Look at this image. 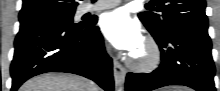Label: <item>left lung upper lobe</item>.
<instances>
[{
  "mask_svg": "<svg viewBox=\"0 0 220 91\" xmlns=\"http://www.w3.org/2000/svg\"><path fill=\"white\" fill-rule=\"evenodd\" d=\"M152 3L162 14L147 11L138 16L154 38H163L179 27L208 29L205 0H153Z\"/></svg>",
  "mask_w": 220,
  "mask_h": 91,
  "instance_id": "1",
  "label": "left lung upper lobe"
}]
</instances>
